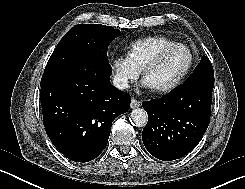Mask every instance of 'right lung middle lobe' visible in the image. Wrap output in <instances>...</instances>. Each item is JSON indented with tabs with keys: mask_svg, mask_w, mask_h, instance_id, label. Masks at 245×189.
<instances>
[{
	"mask_svg": "<svg viewBox=\"0 0 245 189\" xmlns=\"http://www.w3.org/2000/svg\"><path fill=\"white\" fill-rule=\"evenodd\" d=\"M120 35L121 32L111 26L100 24L74 26L63 36L49 58L41 79V87L63 78L85 62L92 60L108 62V46Z\"/></svg>",
	"mask_w": 245,
	"mask_h": 189,
	"instance_id": "obj_1",
	"label": "right lung middle lobe"
}]
</instances>
